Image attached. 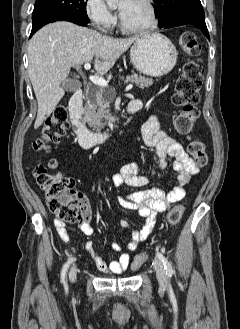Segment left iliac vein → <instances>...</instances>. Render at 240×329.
Here are the masks:
<instances>
[{"label": "left iliac vein", "instance_id": "4c4485c4", "mask_svg": "<svg viewBox=\"0 0 240 329\" xmlns=\"http://www.w3.org/2000/svg\"><path fill=\"white\" fill-rule=\"evenodd\" d=\"M154 269L156 271L158 282L161 286H165L167 284L166 273L160 260L154 259Z\"/></svg>", "mask_w": 240, "mask_h": 329}]
</instances>
